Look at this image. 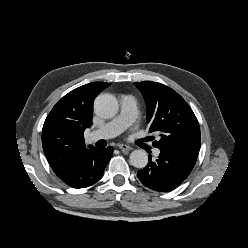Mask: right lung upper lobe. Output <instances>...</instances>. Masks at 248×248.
I'll list each match as a JSON object with an SVG mask.
<instances>
[{"label":"right lung upper lobe","instance_id":"cb5924a9","mask_svg":"<svg viewBox=\"0 0 248 248\" xmlns=\"http://www.w3.org/2000/svg\"><path fill=\"white\" fill-rule=\"evenodd\" d=\"M108 86L110 83L93 82L78 87L59 100L47 116L42 146L57 176L87 150L83 136L85 129L92 125L93 101Z\"/></svg>","mask_w":248,"mask_h":248}]
</instances>
